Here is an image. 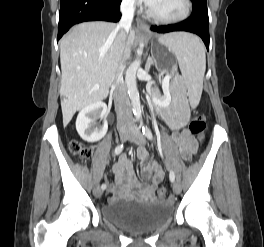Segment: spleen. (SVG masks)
Segmentation results:
<instances>
[{"instance_id": "1", "label": "spleen", "mask_w": 264, "mask_h": 247, "mask_svg": "<svg viewBox=\"0 0 264 247\" xmlns=\"http://www.w3.org/2000/svg\"><path fill=\"white\" fill-rule=\"evenodd\" d=\"M176 56L189 96L198 102L203 89L206 70L205 47L200 39L190 33H174L166 41Z\"/></svg>"}]
</instances>
